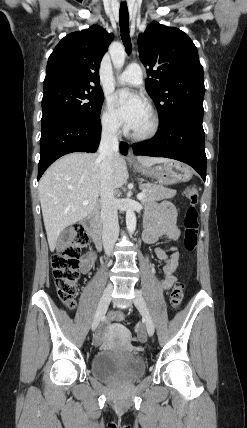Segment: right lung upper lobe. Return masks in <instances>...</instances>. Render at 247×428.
Listing matches in <instances>:
<instances>
[{
    "label": "right lung upper lobe",
    "mask_w": 247,
    "mask_h": 428,
    "mask_svg": "<svg viewBox=\"0 0 247 428\" xmlns=\"http://www.w3.org/2000/svg\"><path fill=\"white\" fill-rule=\"evenodd\" d=\"M112 40L113 34L99 26L64 37L49 57L44 92L65 86L97 88L99 64Z\"/></svg>",
    "instance_id": "cb5924a9"
}]
</instances>
